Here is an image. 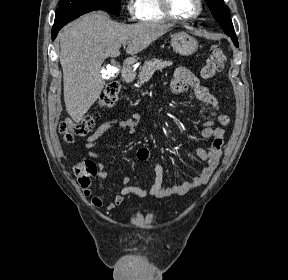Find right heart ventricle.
<instances>
[{"label": "right heart ventricle", "instance_id": "right-heart-ventricle-1", "mask_svg": "<svg viewBox=\"0 0 288 280\" xmlns=\"http://www.w3.org/2000/svg\"><path fill=\"white\" fill-rule=\"evenodd\" d=\"M138 20L142 22H165L159 0H138Z\"/></svg>", "mask_w": 288, "mask_h": 280}]
</instances>
